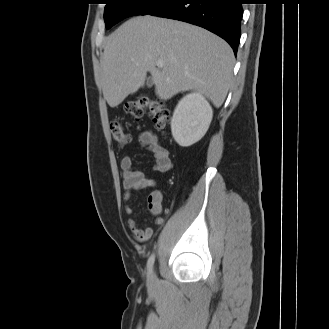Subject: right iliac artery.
Instances as JSON below:
<instances>
[{
    "label": "right iliac artery",
    "instance_id": "right-iliac-artery-1",
    "mask_svg": "<svg viewBox=\"0 0 329 329\" xmlns=\"http://www.w3.org/2000/svg\"><path fill=\"white\" fill-rule=\"evenodd\" d=\"M154 261H155V254L153 253L149 259H148V262H147V271H148V274H150L152 272V268H153V265H154Z\"/></svg>",
    "mask_w": 329,
    "mask_h": 329
}]
</instances>
